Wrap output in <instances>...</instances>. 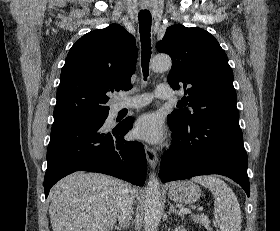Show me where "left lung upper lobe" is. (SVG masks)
<instances>
[{
  "mask_svg": "<svg viewBox=\"0 0 280 231\" xmlns=\"http://www.w3.org/2000/svg\"><path fill=\"white\" fill-rule=\"evenodd\" d=\"M159 52L172 58L168 83L174 89L184 88L187 97L182 108L173 111L180 124L205 119L239 120L233 71L218 41L206 30L173 25L158 43Z\"/></svg>",
  "mask_w": 280,
  "mask_h": 231,
  "instance_id": "1",
  "label": "left lung upper lobe"
}]
</instances>
